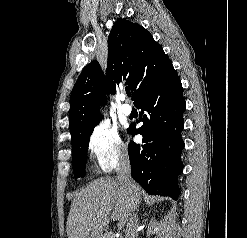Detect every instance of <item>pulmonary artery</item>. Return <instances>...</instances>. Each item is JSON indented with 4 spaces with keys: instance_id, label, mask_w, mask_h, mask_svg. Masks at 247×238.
<instances>
[{
    "instance_id": "e3ab8cb5",
    "label": "pulmonary artery",
    "mask_w": 247,
    "mask_h": 238,
    "mask_svg": "<svg viewBox=\"0 0 247 238\" xmlns=\"http://www.w3.org/2000/svg\"><path fill=\"white\" fill-rule=\"evenodd\" d=\"M121 100L124 102L122 104V107H121V110H122L123 114H125L126 116L130 115L131 112H132V108H131V106L129 104H127L125 102V96L124 95L121 96Z\"/></svg>"
}]
</instances>
